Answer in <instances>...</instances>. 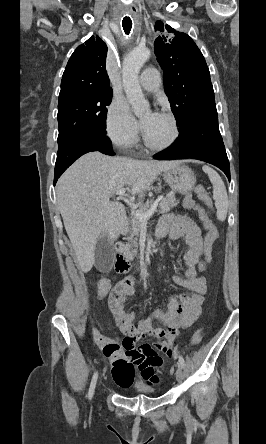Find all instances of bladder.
Listing matches in <instances>:
<instances>
[{
  "label": "bladder",
  "mask_w": 266,
  "mask_h": 444,
  "mask_svg": "<svg viewBox=\"0 0 266 444\" xmlns=\"http://www.w3.org/2000/svg\"><path fill=\"white\" fill-rule=\"evenodd\" d=\"M136 390L139 391V392H141V393H143L144 395H149V394L151 393L150 390L145 389V388H143V387H137Z\"/></svg>",
  "instance_id": "31cf9c89"
}]
</instances>
